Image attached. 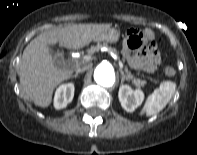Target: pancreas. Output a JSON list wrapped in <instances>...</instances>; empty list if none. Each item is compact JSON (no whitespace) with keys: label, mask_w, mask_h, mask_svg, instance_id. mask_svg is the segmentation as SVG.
<instances>
[{"label":"pancreas","mask_w":197,"mask_h":155,"mask_svg":"<svg viewBox=\"0 0 197 155\" xmlns=\"http://www.w3.org/2000/svg\"><path fill=\"white\" fill-rule=\"evenodd\" d=\"M106 44H96L95 46H91L90 49H88V53L89 54H92L98 50H100L102 47H105ZM112 52L116 53V50L113 49V48H109ZM125 71L127 73V78L128 80H131L132 81V84L136 87H141V86H144L146 84V81L145 80H141L139 78H136L134 75L131 74V72L127 69V67L125 68Z\"/></svg>","instance_id":"pancreas-1"}]
</instances>
